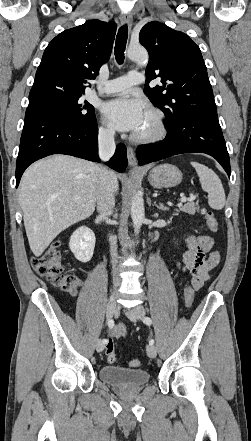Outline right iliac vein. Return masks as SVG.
I'll use <instances>...</instances> for the list:
<instances>
[{
    "mask_svg": "<svg viewBox=\"0 0 251 441\" xmlns=\"http://www.w3.org/2000/svg\"><path fill=\"white\" fill-rule=\"evenodd\" d=\"M117 308V302H116V296L112 295L106 305V317L107 319H111L116 311ZM105 345L101 339H99L96 343V351L102 352Z\"/></svg>",
    "mask_w": 251,
    "mask_h": 441,
    "instance_id": "right-iliac-vein-1",
    "label": "right iliac vein"
}]
</instances>
